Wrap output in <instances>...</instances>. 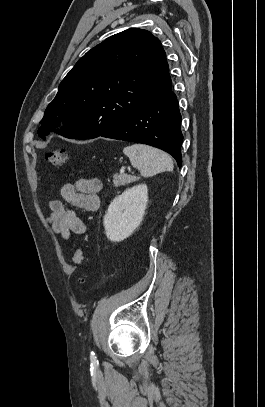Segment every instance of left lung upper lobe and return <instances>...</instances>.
Segmentation results:
<instances>
[{
	"label": "left lung upper lobe",
	"instance_id": "5c2ea615",
	"mask_svg": "<svg viewBox=\"0 0 265 407\" xmlns=\"http://www.w3.org/2000/svg\"><path fill=\"white\" fill-rule=\"evenodd\" d=\"M166 53L149 31L130 28L89 50L59 85L38 130L59 122L70 139L99 137L128 118L171 83Z\"/></svg>",
	"mask_w": 265,
	"mask_h": 407
}]
</instances>
